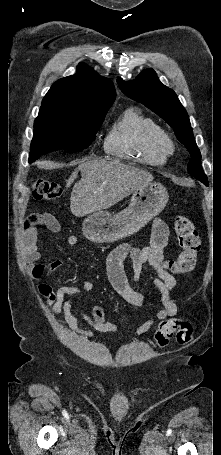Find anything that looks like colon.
Here are the masks:
<instances>
[{"label": "colon", "mask_w": 221, "mask_h": 455, "mask_svg": "<svg viewBox=\"0 0 221 455\" xmlns=\"http://www.w3.org/2000/svg\"><path fill=\"white\" fill-rule=\"evenodd\" d=\"M62 195L61 186L51 180L37 178L32 181V196L39 201H53ZM175 232L178 238L180 253L175 260L166 262V269L173 274L190 272L197 261L201 241L193 222L185 217L176 218ZM192 324L183 318L163 320L154 335L158 347H165L172 339L180 345H188L194 340Z\"/></svg>", "instance_id": "obj_1"}]
</instances>
